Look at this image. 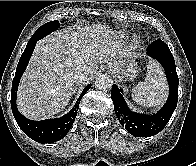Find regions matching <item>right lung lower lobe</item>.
<instances>
[{
  "label": "right lung lower lobe",
  "instance_id": "right-lung-lower-lobe-1",
  "mask_svg": "<svg viewBox=\"0 0 196 166\" xmlns=\"http://www.w3.org/2000/svg\"><path fill=\"white\" fill-rule=\"evenodd\" d=\"M37 41H29L16 68L11 91V109L17 124L31 139L39 143H53L61 140L69 132L79 108L81 98L90 89L88 84L79 96L75 106L64 116L56 119L33 121L25 118L16 107L17 88Z\"/></svg>",
  "mask_w": 196,
  "mask_h": 166
}]
</instances>
